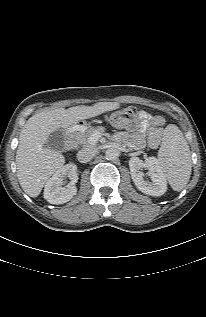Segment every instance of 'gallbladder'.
<instances>
[{"mask_svg":"<svg viewBox=\"0 0 206 317\" xmlns=\"http://www.w3.org/2000/svg\"><path fill=\"white\" fill-rule=\"evenodd\" d=\"M46 146L54 151H63L65 148V133L63 129H58L48 137Z\"/></svg>","mask_w":206,"mask_h":317,"instance_id":"1","label":"gallbladder"}]
</instances>
